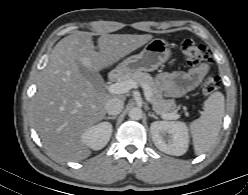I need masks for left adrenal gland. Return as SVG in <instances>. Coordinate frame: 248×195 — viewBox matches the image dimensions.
I'll return each instance as SVG.
<instances>
[{"label": "left adrenal gland", "instance_id": "a2214340", "mask_svg": "<svg viewBox=\"0 0 248 195\" xmlns=\"http://www.w3.org/2000/svg\"><path fill=\"white\" fill-rule=\"evenodd\" d=\"M148 116H149V117H153V118H155V119H158V117H157L154 113H150V112H149V113H148Z\"/></svg>", "mask_w": 248, "mask_h": 195}]
</instances>
